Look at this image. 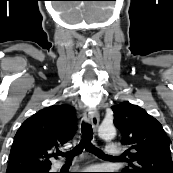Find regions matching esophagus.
<instances>
[{
  "instance_id": "1",
  "label": "esophagus",
  "mask_w": 173,
  "mask_h": 173,
  "mask_svg": "<svg viewBox=\"0 0 173 173\" xmlns=\"http://www.w3.org/2000/svg\"><path fill=\"white\" fill-rule=\"evenodd\" d=\"M83 119L85 122L90 123L95 131L97 130L100 120L97 110H85Z\"/></svg>"
}]
</instances>
